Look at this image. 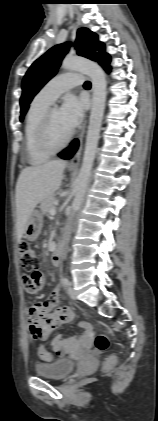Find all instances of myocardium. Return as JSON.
Here are the masks:
<instances>
[{"mask_svg": "<svg viewBox=\"0 0 158 421\" xmlns=\"http://www.w3.org/2000/svg\"><path fill=\"white\" fill-rule=\"evenodd\" d=\"M51 108H48L43 115L39 127V143L40 146L49 153H56L65 148L72 139L73 133L70 132L62 142H55L51 132Z\"/></svg>", "mask_w": 158, "mask_h": 421, "instance_id": "f54148a6", "label": "myocardium"}]
</instances>
